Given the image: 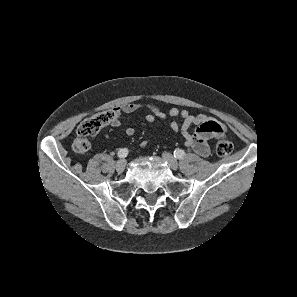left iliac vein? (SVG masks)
Wrapping results in <instances>:
<instances>
[{"label": "left iliac vein", "instance_id": "left-iliac-vein-1", "mask_svg": "<svg viewBox=\"0 0 297 297\" xmlns=\"http://www.w3.org/2000/svg\"><path fill=\"white\" fill-rule=\"evenodd\" d=\"M162 157L168 163V165L171 169H173V170L178 169V162L172 154H170L168 152H164L162 154Z\"/></svg>", "mask_w": 297, "mask_h": 297}]
</instances>
